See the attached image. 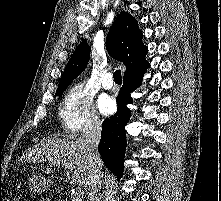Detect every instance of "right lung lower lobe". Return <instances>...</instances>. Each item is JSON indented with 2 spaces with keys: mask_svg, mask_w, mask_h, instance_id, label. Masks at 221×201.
<instances>
[{
  "mask_svg": "<svg viewBox=\"0 0 221 201\" xmlns=\"http://www.w3.org/2000/svg\"><path fill=\"white\" fill-rule=\"evenodd\" d=\"M148 66L123 77V86L116 99L118 104L117 112L110 119H106L102 125L98 151L107 168L117 176L118 180L123 175V160L126 148L125 126L129 122L131 115L127 104L133 102L130 93L140 86L145 69Z\"/></svg>",
  "mask_w": 221,
  "mask_h": 201,
  "instance_id": "right-lung-lower-lobe-1",
  "label": "right lung lower lobe"
}]
</instances>
